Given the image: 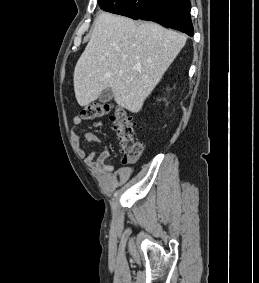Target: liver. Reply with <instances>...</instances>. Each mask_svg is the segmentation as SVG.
<instances>
[{
    "instance_id": "6515ba94",
    "label": "liver",
    "mask_w": 259,
    "mask_h": 283,
    "mask_svg": "<svg viewBox=\"0 0 259 283\" xmlns=\"http://www.w3.org/2000/svg\"><path fill=\"white\" fill-rule=\"evenodd\" d=\"M186 40L157 23L100 13L74 70L78 104L86 106L111 88L119 106L139 112Z\"/></svg>"
}]
</instances>
